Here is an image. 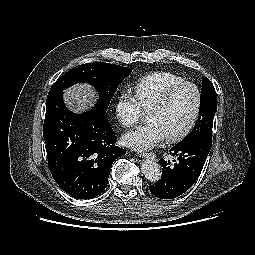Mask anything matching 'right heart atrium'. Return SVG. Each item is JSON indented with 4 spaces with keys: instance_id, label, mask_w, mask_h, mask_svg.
<instances>
[{
    "instance_id": "d8ad5b80",
    "label": "right heart atrium",
    "mask_w": 255,
    "mask_h": 255,
    "mask_svg": "<svg viewBox=\"0 0 255 255\" xmlns=\"http://www.w3.org/2000/svg\"><path fill=\"white\" fill-rule=\"evenodd\" d=\"M144 115L137 99L128 91H122L115 103V116L123 127H131Z\"/></svg>"
}]
</instances>
